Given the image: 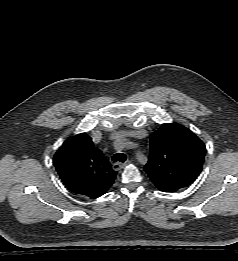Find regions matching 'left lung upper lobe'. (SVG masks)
I'll list each match as a JSON object with an SVG mask.
<instances>
[{
	"label": "left lung upper lobe",
	"instance_id": "obj_1",
	"mask_svg": "<svg viewBox=\"0 0 238 261\" xmlns=\"http://www.w3.org/2000/svg\"><path fill=\"white\" fill-rule=\"evenodd\" d=\"M205 151L204 143L188 128L162 124L150 135V156L144 170L158 189L175 192L200 174Z\"/></svg>",
	"mask_w": 238,
	"mask_h": 261
}]
</instances>
